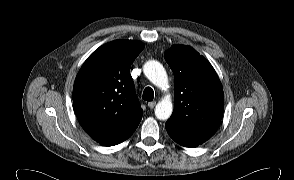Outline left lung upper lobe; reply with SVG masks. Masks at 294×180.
I'll use <instances>...</instances> for the list:
<instances>
[{
	"instance_id": "1",
	"label": "left lung upper lobe",
	"mask_w": 294,
	"mask_h": 180,
	"mask_svg": "<svg viewBox=\"0 0 294 180\" xmlns=\"http://www.w3.org/2000/svg\"><path fill=\"white\" fill-rule=\"evenodd\" d=\"M164 58L175 80V107L167 123L190 132H216L224 97L214 68L189 46L173 45Z\"/></svg>"
}]
</instances>
